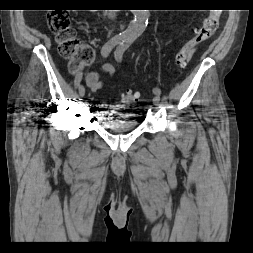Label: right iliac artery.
<instances>
[{
  "mask_svg": "<svg viewBox=\"0 0 253 253\" xmlns=\"http://www.w3.org/2000/svg\"><path fill=\"white\" fill-rule=\"evenodd\" d=\"M123 41V38L121 36H115L108 40L102 47L101 49V54L104 58H106L110 52L113 50V48L121 43ZM83 74L82 73H77L76 76L74 77L75 80V86H79L81 80H82Z\"/></svg>",
  "mask_w": 253,
  "mask_h": 253,
  "instance_id": "obj_1",
  "label": "right iliac artery"
}]
</instances>
